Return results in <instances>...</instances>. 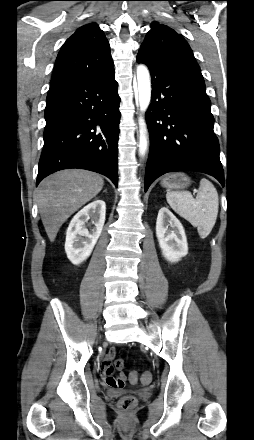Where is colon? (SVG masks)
Segmentation results:
<instances>
[{
	"mask_svg": "<svg viewBox=\"0 0 254 440\" xmlns=\"http://www.w3.org/2000/svg\"><path fill=\"white\" fill-rule=\"evenodd\" d=\"M125 367V361L123 359H116L114 361V368L121 372ZM129 381L132 384H136L138 382L142 383V384H148L152 381V375L149 371H145L142 374H139L137 372H131L129 375ZM126 379L123 375H120L118 378H116V380L113 382V385L116 388H121L125 385ZM136 399L134 396L132 395H127L124 396L121 400H120V407L123 410H131L134 405H135Z\"/></svg>",
	"mask_w": 254,
	"mask_h": 440,
	"instance_id": "1",
	"label": "colon"
}]
</instances>
